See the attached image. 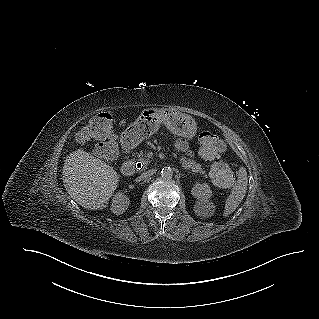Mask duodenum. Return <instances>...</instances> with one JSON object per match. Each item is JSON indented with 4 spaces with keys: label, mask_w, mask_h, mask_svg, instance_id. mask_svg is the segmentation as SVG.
Listing matches in <instances>:
<instances>
[{
    "label": "duodenum",
    "mask_w": 319,
    "mask_h": 319,
    "mask_svg": "<svg viewBox=\"0 0 319 319\" xmlns=\"http://www.w3.org/2000/svg\"><path fill=\"white\" fill-rule=\"evenodd\" d=\"M134 142H135L134 138H132L131 136H125L122 141L123 146L127 149L132 148V146L134 145ZM135 169H136L135 164L131 161H128L122 165L121 173L124 176H131L134 173Z\"/></svg>",
    "instance_id": "410a0bca"
}]
</instances>
